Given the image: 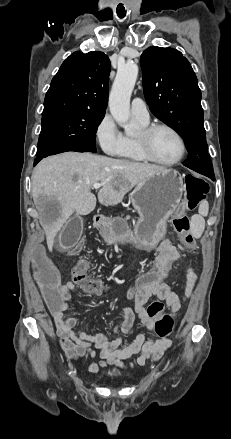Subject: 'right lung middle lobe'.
I'll use <instances>...</instances> for the list:
<instances>
[{"label": "right lung middle lobe", "mask_w": 231, "mask_h": 439, "mask_svg": "<svg viewBox=\"0 0 231 439\" xmlns=\"http://www.w3.org/2000/svg\"><path fill=\"white\" fill-rule=\"evenodd\" d=\"M105 113L70 111L42 117L37 157L67 151L96 153V131Z\"/></svg>", "instance_id": "obj_1"}]
</instances>
